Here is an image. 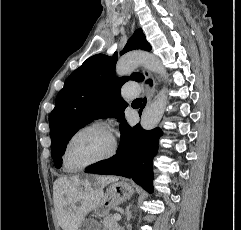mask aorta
Here are the masks:
<instances>
[{
	"mask_svg": "<svg viewBox=\"0 0 241 230\" xmlns=\"http://www.w3.org/2000/svg\"><path fill=\"white\" fill-rule=\"evenodd\" d=\"M144 65L148 70L167 77V73L157 57L145 52H132L120 58L116 64V73L118 76H125L135 70L138 65ZM167 105V89L164 87L155 100L148 105L141 116V127L145 130L154 129L164 114Z\"/></svg>",
	"mask_w": 241,
	"mask_h": 230,
	"instance_id": "aorta-1",
	"label": "aorta"
}]
</instances>
